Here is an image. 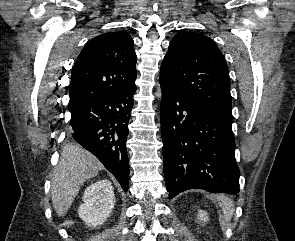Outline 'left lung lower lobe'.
I'll return each mask as SVG.
<instances>
[{"label":"left lung lower lobe","instance_id":"obj_1","mask_svg":"<svg viewBox=\"0 0 295 241\" xmlns=\"http://www.w3.org/2000/svg\"><path fill=\"white\" fill-rule=\"evenodd\" d=\"M164 175L171 198L188 189L239 192L232 121L160 79Z\"/></svg>","mask_w":295,"mask_h":241}]
</instances>
